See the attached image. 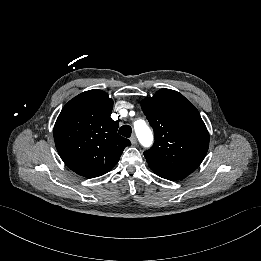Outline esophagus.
Instances as JSON below:
<instances>
[{
    "label": "esophagus",
    "instance_id": "obj_1",
    "mask_svg": "<svg viewBox=\"0 0 261 261\" xmlns=\"http://www.w3.org/2000/svg\"><path fill=\"white\" fill-rule=\"evenodd\" d=\"M130 141H131V143H132L133 145L137 144V138H136V136H135V135H132V136L130 137Z\"/></svg>",
    "mask_w": 261,
    "mask_h": 261
}]
</instances>
